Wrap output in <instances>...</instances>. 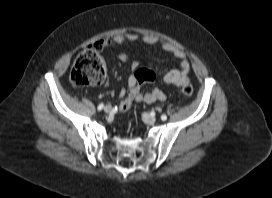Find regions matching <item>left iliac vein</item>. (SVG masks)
Wrapping results in <instances>:
<instances>
[{
    "label": "left iliac vein",
    "instance_id": "left-iliac-vein-1",
    "mask_svg": "<svg viewBox=\"0 0 272 198\" xmlns=\"http://www.w3.org/2000/svg\"><path fill=\"white\" fill-rule=\"evenodd\" d=\"M143 119L148 124H154L156 122V118L148 113L143 114Z\"/></svg>",
    "mask_w": 272,
    "mask_h": 198
}]
</instances>
